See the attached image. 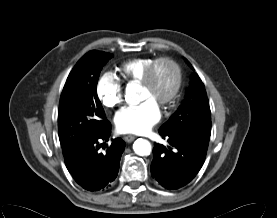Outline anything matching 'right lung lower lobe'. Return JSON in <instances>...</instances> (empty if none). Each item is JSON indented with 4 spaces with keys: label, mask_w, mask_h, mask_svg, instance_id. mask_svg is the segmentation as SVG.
<instances>
[{
    "label": "right lung lower lobe",
    "mask_w": 277,
    "mask_h": 218,
    "mask_svg": "<svg viewBox=\"0 0 277 218\" xmlns=\"http://www.w3.org/2000/svg\"><path fill=\"white\" fill-rule=\"evenodd\" d=\"M111 124L97 136L64 155L65 164L74 180L89 191H98L111 185L118 174L125 142L113 139L107 146Z\"/></svg>",
    "instance_id": "98d812e1"
}]
</instances>
